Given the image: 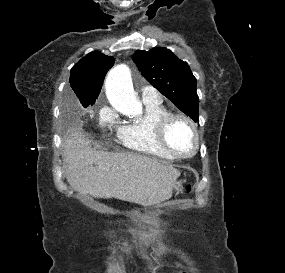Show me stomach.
<instances>
[{
	"label": "stomach",
	"instance_id": "0dacf381",
	"mask_svg": "<svg viewBox=\"0 0 285 273\" xmlns=\"http://www.w3.org/2000/svg\"><path fill=\"white\" fill-rule=\"evenodd\" d=\"M182 182L181 181H175L173 184V189L177 191V193L181 190Z\"/></svg>",
	"mask_w": 285,
	"mask_h": 273
}]
</instances>
